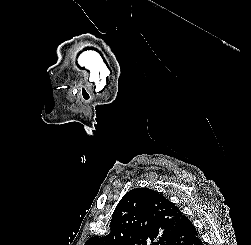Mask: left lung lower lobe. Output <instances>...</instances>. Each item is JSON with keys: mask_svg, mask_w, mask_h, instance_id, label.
<instances>
[{"mask_svg": "<svg viewBox=\"0 0 251 245\" xmlns=\"http://www.w3.org/2000/svg\"><path fill=\"white\" fill-rule=\"evenodd\" d=\"M187 219H185L183 227L170 236L166 245H203L197 229Z\"/></svg>", "mask_w": 251, "mask_h": 245, "instance_id": "1", "label": "left lung lower lobe"}]
</instances>
